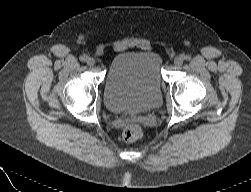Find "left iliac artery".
<instances>
[{
	"label": "left iliac artery",
	"mask_w": 251,
	"mask_h": 192,
	"mask_svg": "<svg viewBox=\"0 0 251 192\" xmlns=\"http://www.w3.org/2000/svg\"><path fill=\"white\" fill-rule=\"evenodd\" d=\"M183 59H185V60H190L191 57H190V55H185V56L183 57Z\"/></svg>",
	"instance_id": "1"
}]
</instances>
